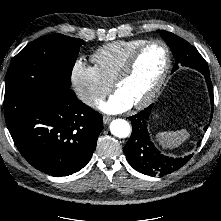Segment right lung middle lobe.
<instances>
[{"label": "right lung middle lobe", "instance_id": "dd1d6c3e", "mask_svg": "<svg viewBox=\"0 0 221 221\" xmlns=\"http://www.w3.org/2000/svg\"><path fill=\"white\" fill-rule=\"evenodd\" d=\"M81 39L51 34L28 44L11 62L5 94L27 92L40 94L49 86H71V72Z\"/></svg>", "mask_w": 221, "mask_h": 221}]
</instances>
